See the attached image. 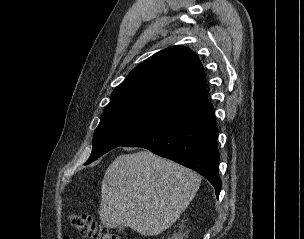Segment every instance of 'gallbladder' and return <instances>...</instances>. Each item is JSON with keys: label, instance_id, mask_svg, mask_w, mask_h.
<instances>
[{"label": "gallbladder", "instance_id": "bac80fb5", "mask_svg": "<svg viewBox=\"0 0 304 239\" xmlns=\"http://www.w3.org/2000/svg\"><path fill=\"white\" fill-rule=\"evenodd\" d=\"M125 229H126V226H124V225H119V226H117V230H118L119 232H123Z\"/></svg>", "mask_w": 304, "mask_h": 239}]
</instances>
